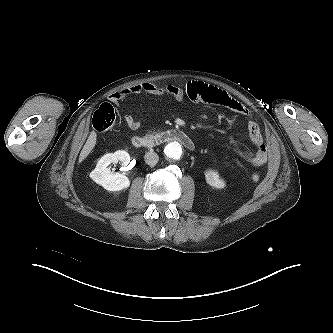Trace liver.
<instances>
[{
  "instance_id": "6515ba94",
  "label": "liver",
  "mask_w": 333,
  "mask_h": 333,
  "mask_svg": "<svg viewBox=\"0 0 333 333\" xmlns=\"http://www.w3.org/2000/svg\"><path fill=\"white\" fill-rule=\"evenodd\" d=\"M97 135L94 131H92L84 145V147L81 150L80 156H79V163H81L92 151V149L96 145Z\"/></svg>"
}]
</instances>
